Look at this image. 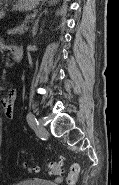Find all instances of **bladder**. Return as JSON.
Instances as JSON below:
<instances>
[{
    "mask_svg": "<svg viewBox=\"0 0 119 185\" xmlns=\"http://www.w3.org/2000/svg\"><path fill=\"white\" fill-rule=\"evenodd\" d=\"M14 185H50V184L41 179L31 178L18 181Z\"/></svg>",
    "mask_w": 119,
    "mask_h": 185,
    "instance_id": "31cf9c89",
    "label": "bladder"
}]
</instances>
